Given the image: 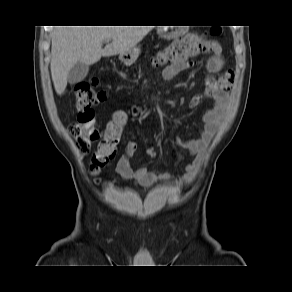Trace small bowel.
Segmentation results:
<instances>
[{
    "mask_svg": "<svg viewBox=\"0 0 292 292\" xmlns=\"http://www.w3.org/2000/svg\"><path fill=\"white\" fill-rule=\"evenodd\" d=\"M212 56L207 61L208 77L206 79V88L202 94L193 96L189 107L196 108L206 98L214 100V105L203 117L204 125L200 135L194 139L179 140V144L191 155L196 158L192 164L187 166L185 176L177 181L168 173L157 171H148L144 167L133 168L130 163V157L136 150V143L129 142L126 146L125 154L117 161L116 172L125 180H133L140 186L149 187L158 182H175L183 185H189L193 182L198 168L201 165L203 154L218 131L227 109L228 95L234 74L231 70L223 76L217 78L215 74L223 67V52L220 45L216 42L211 43ZM190 66L189 62H176L167 66L163 71L165 80L175 78L182 71Z\"/></svg>",
    "mask_w": 292,
    "mask_h": 292,
    "instance_id": "small-bowel-1",
    "label": "small bowel"
}]
</instances>
